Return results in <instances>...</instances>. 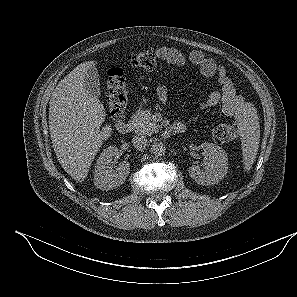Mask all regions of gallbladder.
Here are the masks:
<instances>
[{
	"label": "gallbladder",
	"mask_w": 297,
	"mask_h": 297,
	"mask_svg": "<svg viewBox=\"0 0 297 297\" xmlns=\"http://www.w3.org/2000/svg\"><path fill=\"white\" fill-rule=\"evenodd\" d=\"M83 85L89 96L92 98L98 99L101 90L100 82L98 77V72L95 68H90L84 76Z\"/></svg>",
	"instance_id": "bac80fb5"
}]
</instances>
